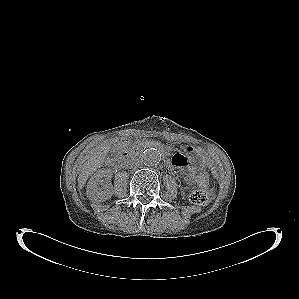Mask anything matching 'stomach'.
Segmentation results:
<instances>
[{
	"label": "stomach",
	"mask_w": 299,
	"mask_h": 299,
	"mask_svg": "<svg viewBox=\"0 0 299 299\" xmlns=\"http://www.w3.org/2000/svg\"><path fill=\"white\" fill-rule=\"evenodd\" d=\"M183 154L187 157L188 166L191 169H199L204 166V154L201 150L196 149L193 144H186L183 147Z\"/></svg>",
	"instance_id": "0dacf381"
}]
</instances>
